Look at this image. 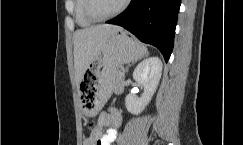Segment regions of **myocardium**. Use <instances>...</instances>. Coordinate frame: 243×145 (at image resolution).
<instances>
[{
  "instance_id": "myocardium-1",
  "label": "myocardium",
  "mask_w": 243,
  "mask_h": 145,
  "mask_svg": "<svg viewBox=\"0 0 243 145\" xmlns=\"http://www.w3.org/2000/svg\"><path fill=\"white\" fill-rule=\"evenodd\" d=\"M130 1L131 0H124L121 6L116 11H114L113 13L107 16L100 17L97 16L93 11V0H85V6H84L85 15L92 22L107 21L121 14L128 7Z\"/></svg>"
}]
</instances>
